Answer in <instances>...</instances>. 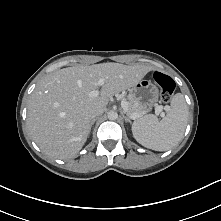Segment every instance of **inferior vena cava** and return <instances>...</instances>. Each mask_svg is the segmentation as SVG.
Masks as SVG:
<instances>
[{
  "label": "inferior vena cava",
  "instance_id": "inferior-vena-cava-1",
  "mask_svg": "<svg viewBox=\"0 0 221 221\" xmlns=\"http://www.w3.org/2000/svg\"><path fill=\"white\" fill-rule=\"evenodd\" d=\"M104 112V109L103 108H97L95 109L93 112H92V119H94L96 116H99L101 115L102 113Z\"/></svg>",
  "mask_w": 221,
  "mask_h": 221
}]
</instances>
